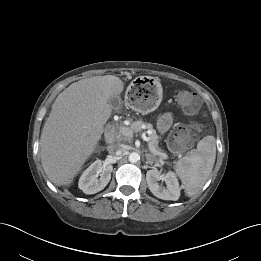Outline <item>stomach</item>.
Instances as JSON below:
<instances>
[{
	"label": "stomach",
	"instance_id": "obj_1",
	"mask_svg": "<svg viewBox=\"0 0 261 261\" xmlns=\"http://www.w3.org/2000/svg\"><path fill=\"white\" fill-rule=\"evenodd\" d=\"M163 98L160 81L152 77L133 80L126 94V104L134 111L146 115L156 110Z\"/></svg>",
	"mask_w": 261,
	"mask_h": 261
}]
</instances>
